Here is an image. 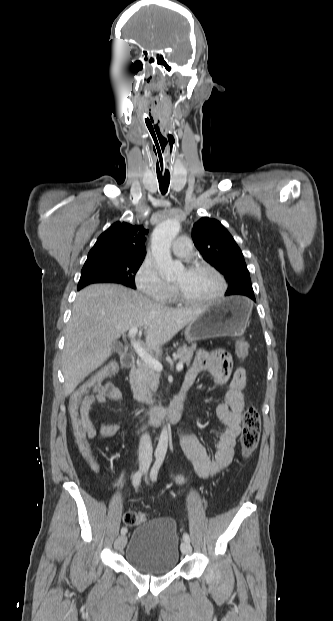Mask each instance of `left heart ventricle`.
<instances>
[{
	"label": "left heart ventricle",
	"instance_id": "obj_1",
	"mask_svg": "<svg viewBox=\"0 0 333 621\" xmlns=\"http://www.w3.org/2000/svg\"><path fill=\"white\" fill-rule=\"evenodd\" d=\"M173 283L184 295L196 300L209 299L220 289L217 277L207 270H181L173 279Z\"/></svg>",
	"mask_w": 333,
	"mask_h": 621
}]
</instances>
